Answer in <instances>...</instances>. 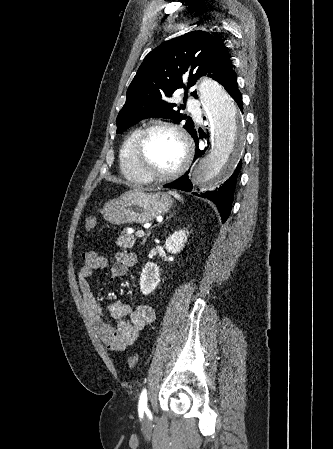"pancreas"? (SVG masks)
Returning <instances> with one entry per match:
<instances>
[{"label":"pancreas","mask_w":333,"mask_h":449,"mask_svg":"<svg viewBox=\"0 0 333 449\" xmlns=\"http://www.w3.org/2000/svg\"><path fill=\"white\" fill-rule=\"evenodd\" d=\"M135 236L124 229L122 235L118 238L116 244L123 248H132L135 243Z\"/></svg>","instance_id":"cf45deb5"}]
</instances>
